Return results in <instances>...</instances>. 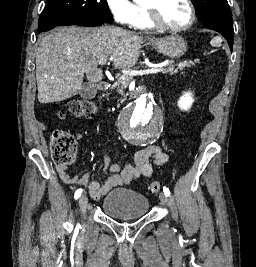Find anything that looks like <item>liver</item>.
<instances>
[{
    "label": "liver",
    "instance_id": "6515ba94",
    "mask_svg": "<svg viewBox=\"0 0 256 267\" xmlns=\"http://www.w3.org/2000/svg\"><path fill=\"white\" fill-rule=\"evenodd\" d=\"M142 36L115 26L55 28L42 38L36 52L38 102H62L77 96L84 74L101 82L99 62L113 60L116 70H129L138 62Z\"/></svg>",
    "mask_w": 256,
    "mask_h": 267
}]
</instances>
